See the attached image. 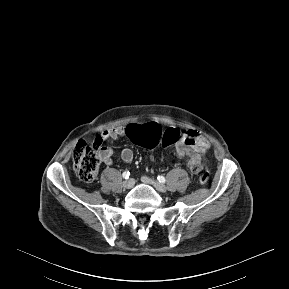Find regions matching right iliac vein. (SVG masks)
I'll use <instances>...</instances> for the list:
<instances>
[{
    "label": "right iliac vein",
    "instance_id": "63e3f726",
    "mask_svg": "<svg viewBox=\"0 0 289 289\" xmlns=\"http://www.w3.org/2000/svg\"><path fill=\"white\" fill-rule=\"evenodd\" d=\"M134 184H135L134 179H128L124 182L123 185L126 189H131L134 186Z\"/></svg>",
    "mask_w": 289,
    "mask_h": 289
}]
</instances>
